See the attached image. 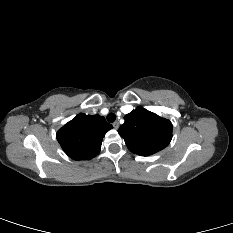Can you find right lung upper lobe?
Here are the masks:
<instances>
[{"label": "right lung upper lobe", "instance_id": "right-lung-upper-lobe-1", "mask_svg": "<svg viewBox=\"0 0 233 233\" xmlns=\"http://www.w3.org/2000/svg\"><path fill=\"white\" fill-rule=\"evenodd\" d=\"M111 128L103 116L80 113L57 132V140L70 158L92 159L99 154L102 139Z\"/></svg>", "mask_w": 233, "mask_h": 233}]
</instances>
